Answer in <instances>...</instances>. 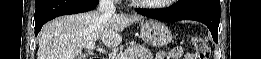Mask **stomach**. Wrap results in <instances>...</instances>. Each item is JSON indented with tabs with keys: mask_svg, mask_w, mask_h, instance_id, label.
Returning <instances> with one entry per match:
<instances>
[{
	"mask_svg": "<svg viewBox=\"0 0 261 59\" xmlns=\"http://www.w3.org/2000/svg\"><path fill=\"white\" fill-rule=\"evenodd\" d=\"M142 40L154 47H163L173 40V36L169 28L162 22L157 20H146L141 23Z\"/></svg>",
	"mask_w": 261,
	"mask_h": 59,
	"instance_id": "stomach-1",
	"label": "stomach"
}]
</instances>
